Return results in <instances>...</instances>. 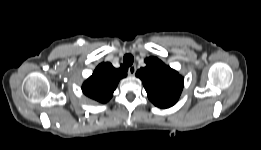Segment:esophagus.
Instances as JSON below:
<instances>
[{
    "mask_svg": "<svg viewBox=\"0 0 261 150\" xmlns=\"http://www.w3.org/2000/svg\"><path fill=\"white\" fill-rule=\"evenodd\" d=\"M128 73L130 75H134L136 73V66L135 65H132L128 68Z\"/></svg>",
    "mask_w": 261,
    "mask_h": 150,
    "instance_id": "1",
    "label": "esophagus"
}]
</instances>
